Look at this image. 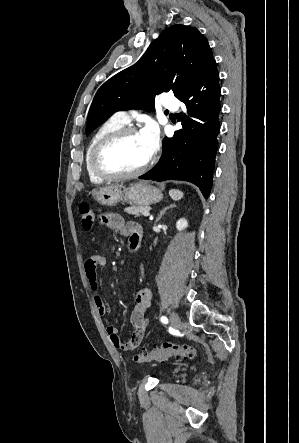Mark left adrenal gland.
I'll use <instances>...</instances> for the list:
<instances>
[{
    "label": "left adrenal gland",
    "mask_w": 299,
    "mask_h": 443,
    "mask_svg": "<svg viewBox=\"0 0 299 443\" xmlns=\"http://www.w3.org/2000/svg\"><path fill=\"white\" fill-rule=\"evenodd\" d=\"M175 206H176L175 204H171V205H169V206L163 208V209L160 211V214L158 215V217H157V219H156V222H158V221L161 219V217L165 214V212H166L167 210L172 209V208H174Z\"/></svg>",
    "instance_id": "a2214340"
}]
</instances>
